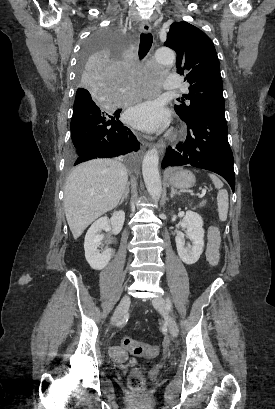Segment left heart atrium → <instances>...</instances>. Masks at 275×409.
Listing matches in <instances>:
<instances>
[{
	"instance_id": "obj_1",
	"label": "left heart atrium",
	"mask_w": 275,
	"mask_h": 409,
	"mask_svg": "<svg viewBox=\"0 0 275 409\" xmlns=\"http://www.w3.org/2000/svg\"><path fill=\"white\" fill-rule=\"evenodd\" d=\"M127 117L132 126L146 132L161 131L170 121L169 113L155 100L135 104L128 111Z\"/></svg>"
}]
</instances>
